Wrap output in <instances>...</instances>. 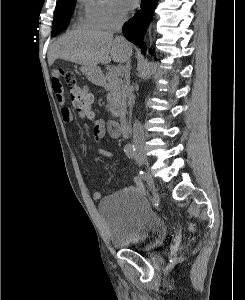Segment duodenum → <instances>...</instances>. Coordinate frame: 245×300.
<instances>
[{
  "label": "duodenum",
  "mask_w": 245,
  "mask_h": 300,
  "mask_svg": "<svg viewBox=\"0 0 245 300\" xmlns=\"http://www.w3.org/2000/svg\"><path fill=\"white\" fill-rule=\"evenodd\" d=\"M118 123H119V127H120L122 135L126 136L128 134V130H129V124H128L127 117L125 115L121 114L119 116Z\"/></svg>",
  "instance_id": "obj_1"
}]
</instances>
